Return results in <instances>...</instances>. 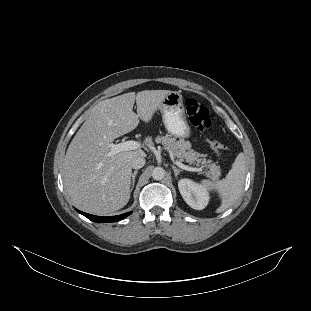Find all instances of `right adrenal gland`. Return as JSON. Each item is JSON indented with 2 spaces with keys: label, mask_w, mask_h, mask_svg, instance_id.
<instances>
[{
  "label": "right adrenal gland",
  "mask_w": 311,
  "mask_h": 311,
  "mask_svg": "<svg viewBox=\"0 0 311 311\" xmlns=\"http://www.w3.org/2000/svg\"><path fill=\"white\" fill-rule=\"evenodd\" d=\"M137 173H138V169L136 171H134V173L132 174V178H131V185H132L131 191L134 188V182H135V177H136Z\"/></svg>",
  "instance_id": "obj_1"
}]
</instances>
